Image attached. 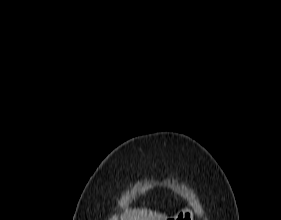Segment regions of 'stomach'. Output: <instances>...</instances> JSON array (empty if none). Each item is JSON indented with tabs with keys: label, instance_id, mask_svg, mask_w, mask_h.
<instances>
[{
	"label": "stomach",
	"instance_id": "obj_1",
	"mask_svg": "<svg viewBox=\"0 0 281 220\" xmlns=\"http://www.w3.org/2000/svg\"><path fill=\"white\" fill-rule=\"evenodd\" d=\"M174 220H193V213L190 209L184 208L174 216Z\"/></svg>",
	"mask_w": 281,
	"mask_h": 220
}]
</instances>
